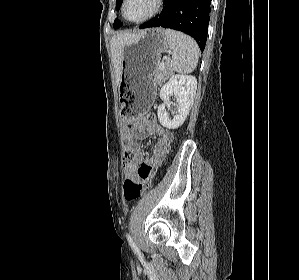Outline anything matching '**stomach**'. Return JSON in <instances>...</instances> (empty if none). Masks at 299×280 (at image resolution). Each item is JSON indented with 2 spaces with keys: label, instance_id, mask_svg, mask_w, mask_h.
Segmentation results:
<instances>
[{
  "label": "stomach",
  "instance_id": "obj_1",
  "mask_svg": "<svg viewBox=\"0 0 299 280\" xmlns=\"http://www.w3.org/2000/svg\"><path fill=\"white\" fill-rule=\"evenodd\" d=\"M169 48L164 30L152 28L141 31L123 49L119 98L124 117L146 114L154 99L156 73L160 56Z\"/></svg>",
  "mask_w": 299,
  "mask_h": 280
}]
</instances>
